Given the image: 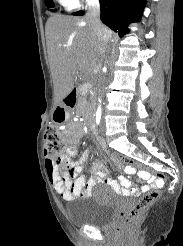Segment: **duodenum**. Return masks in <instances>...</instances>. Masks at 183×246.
<instances>
[{
	"mask_svg": "<svg viewBox=\"0 0 183 246\" xmlns=\"http://www.w3.org/2000/svg\"><path fill=\"white\" fill-rule=\"evenodd\" d=\"M82 87H74L65 97L66 109H73L77 106ZM96 144H100V148H107V143H104V136H97Z\"/></svg>",
	"mask_w": 183,
	"mask_h": 246,
	"instance_id": "obj_1",
	"label": "duodenum"
}]
</instances>
